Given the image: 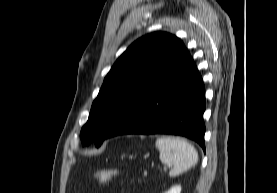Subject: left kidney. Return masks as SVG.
<instances>
[{
    "instance_id": "5707ae66",
    "label": "left kidney",
    "mask_w": 277,
    "mask_h": 193,
    "mask_svg": "<svg viewBox=\"0 0 277 193\" xmlns=\"http://www.w3.org/2000/svg\"><path fill=\"white\" fill-rule=\"evenodd\" d=\"M165 193H181V186H173L170 190Z\"/></svg>"
}]
</instances>
